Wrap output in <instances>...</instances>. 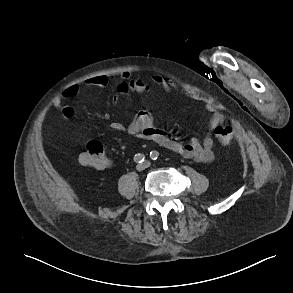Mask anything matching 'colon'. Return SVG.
Here are the masks:
<instances>
[{
  "label": "colon",
  "instance_id": "1",
  "mask_svg": "<svg viewBox=\"0 0 293 293\" xmlns=\"http://www.w3.org/2000/svg\"><path fill=\"white\" fill-rule=\"evenodd\" d=\"M218 141L223 145H228L233 138V128L229 124L218 125L214 129ZM78 162L85 167L94 169H105L109 166V159L106 156L104 145L98 141L90 142L86 149L78 156Z\"/></svg>",
  "mask_w": 293,
  "mask_h": 293
}]
</instances>
